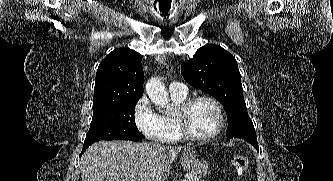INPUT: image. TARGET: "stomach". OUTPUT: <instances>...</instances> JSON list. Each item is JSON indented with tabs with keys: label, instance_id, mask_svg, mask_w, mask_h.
Masks as SVG:
<instances>
[{
	"label": "stomach",
	"instance_id": "0dacf381",
	"mask_svg": "<svg viewBox=\"0 0 333 181\" xmlns=\"http://www.w3.org/2000/svg\"><path fill=\"white\" fill-rule=\"evenodd\" d=\"M182 166L185 171L195 178H203L208 174V163L201 158H197L193 149L183 152Z\"/></svg>",
	"mask_w": 333,
	"mask_h": 181
}]
</instances>
